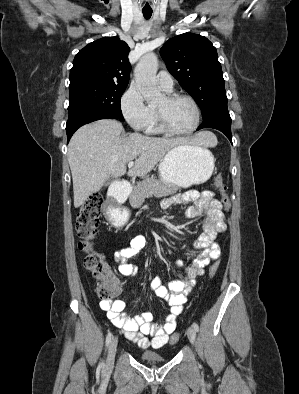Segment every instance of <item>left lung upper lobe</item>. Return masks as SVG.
I'll list each match as a JSON object with an SVG mask.
<instances>
[{
  "label": "left lung upper lobe",
  "instance_id": "left-lung-upper-lobe-1",
  "mask_svg": "<svg viewBox=\"0 0 299 394\" xmlns=\"http://www.w3.org/2000/svg\"><path fill=\"white\" fill-rule=\"evenodd\" d=\"M167 69L201 109L203 119L228 112L221 64L216 48L204 36L184 33L160 50Z\"/></svg>",
  "mask_w": 299,
  "mask_h": 394
}]
</instances>
